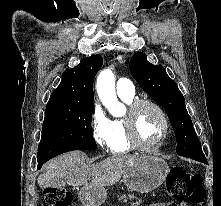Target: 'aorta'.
Returning <instances> with one entry per match:
<instances>
[{
	"label": "aorta",
	"instance_id": "762f6f07",
	"mask_svg": "<svg viewBox=\"0 0 221 206\" xmlns=\"http://www.w3.org/2000/svg\"><path fill=\"white\" fill-rule=\"evenodd\" d=\"M96 89L102 104L115 116L122 113L124 107L118 102L115 91V77L110 69L101 71L97 78Z\"/></svg>",
	"mask_w": 221,
	"mask_h": 206
}]
</instances>
